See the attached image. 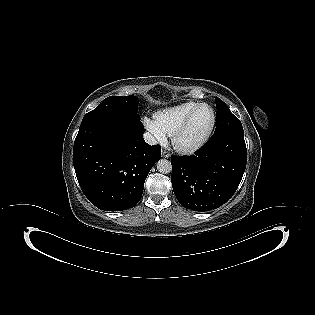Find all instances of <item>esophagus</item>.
I'll list each match as a JSON object with an SVG mask.
<instances>
[{"instance_id": "obj_1", "label": "esophagus", "mask_w": 315, "mask_h": 315, "mask_svg": "<svg viewBox=\"0 0 315 315\" xmlns=\"http://www.w3.org/2000/svg\"><path fill=\"white\" fill-rule=\"evenodd\" d=\"M162 157H164V158H169V157H170V153L167 152V151H165V150H163V151H162Z\"/></svg>"}]
</instances>
